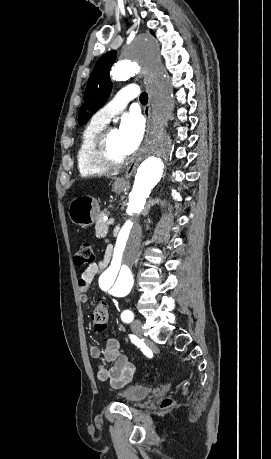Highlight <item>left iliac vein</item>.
Masks as SVG:
<instances>
[{
  "label": "left iliac vein",
  "instance_id": "1",
  "mask_svg": "<svg viewBox=\"0 0 271 459\" xmlns=\"http://www.w3.org/2000/svg\"><path fill=\"white\" fill-rule=\"evenodd\" d=\"M132 330L135 335L142 338L143 337V328L142 322L139 319H135L132 321Z\"/></svg>",
  "mask_w": 271,
  "mask_h": 459
}]
</instances>
